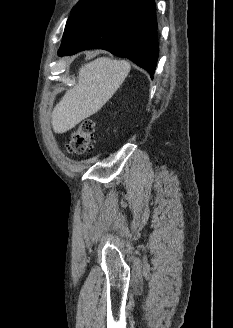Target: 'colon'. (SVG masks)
I'll list each match as a JSON object with an SVG mask.
<instances>
[{"label": "colon", "mask_w": 233, "mask_h": 328, "mask_svg": "<svg viewBox=\"0 0 233 328\" xmlns=\"http://www.w3.org/2000/svg\"><path fill=\"white\" fill-rule=\"evenodd\" d=\"M94 123L90 119L80 122L68 135L66 149L70 154L80 155L93 147Z\"/></svg>", "instance_id": "1"}]
</instances>
